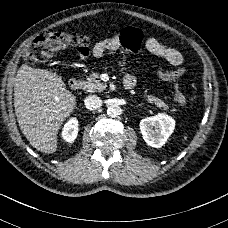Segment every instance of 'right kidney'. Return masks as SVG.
Wrapping results in <instances>:
<instances>
[{
	"label": "right kidney",
	"instance_id": "ca27d5eb",
	"mask_svg": "<svg viewBox=\"0 0 228 228\" xmlns=\"http://www.w3.org/2000/svg\"><path fill=\"white\" fill-rule=\"evenodd\" d=\"M78 135V120L76 117L70 118L63 127L61 136L64 141L73 143Z\"/></svg>",
	"mask_w": 228,
	"mask_h": 228
}]
</instances>
